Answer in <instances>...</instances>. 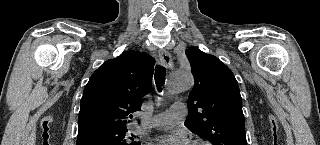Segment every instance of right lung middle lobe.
Returning a JSON list of instances; mask_svg holds the SVG:
<instances>
[{
  "instance_id": "dd1d6c3e",
  "label": "right lung middle lobe",
  "mask_w": 320,
  "mask_h": 145,
  "mask_svg": "<svg viewBox=\"0 0 320 145\" xmlns=\"http://www.w3.org/2000/svg\"><path fill=\"white\" fill-rule=\"evenodd\" d=\"M127 128L99 129L78 136L77 143L87 141H98L106 145H140L134 141V135L127 133Z\"/></svg>"
}]
</instances>
